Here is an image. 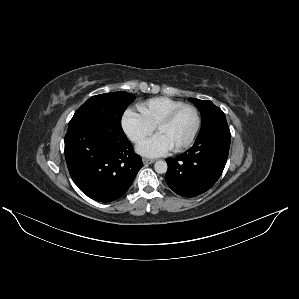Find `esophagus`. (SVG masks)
Segmentation results:
<instances>
[{
    "label": "esophagus",
    "instance_id": "obj_1",
    "mask_svg": "<svg viewBox=\"0 0 299 299\" xmlns=\"http://www.w3.org/2000/svg\"><path fill=\"white\" fill-rule=\"evenodd\" d=\"M154 162H155L154 159H149V158H144V159H143V163H144V164H152V163H154Z\"/></svg>",
    "mask_w": 299,
    "mask_h": 299
}]
</instances>
